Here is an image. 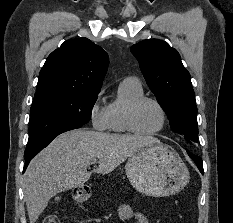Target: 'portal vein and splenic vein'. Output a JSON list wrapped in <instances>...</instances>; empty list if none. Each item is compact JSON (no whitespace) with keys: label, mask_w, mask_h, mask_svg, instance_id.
Returning <instances> with one entry per match:
<instances>
[{"label":"portal vein and splenic vein","mask_w":233,"mask_h":223,"mask_svg":"<svg viewBox=\"0 0 233 223\" xmlns=\"http://www.w3.org/2000/svg\"><path fill=\"white\" fill-rule=\"evenodd\" d=\"M91 163H97V159H92Z\"/></svg>","instance_id":"18ae733b"}]
</instances>
